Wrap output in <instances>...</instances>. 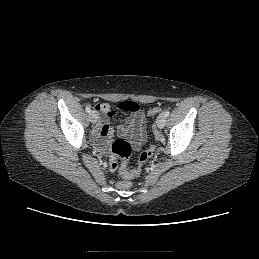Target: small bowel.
<instances>
[{
  "label": "small bowel",
  "mask_w": 259,
  "mask_h": 259,
  "mask_svg": "<svg viewBox=\"0 0 259 259\" xmlns=\"http://www.w3.org/2000/svg\"><path fill=\"white\" fill-rule=\"evenodd\" d=\"M95 109L100 113V117L94 142L100 150H104L115 133L109 122L115 117L116 112L107 103L97 104ZM117 135L128 139L134 149H140L145 140V117L140 108L131 112L126 121L118 126Z\"/></svg>",
  "instance_id": "small-bowel-1"
}]
</instances>
